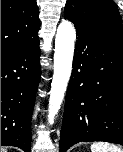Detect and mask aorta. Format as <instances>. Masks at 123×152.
Segmentation results:
<instances>
[{
  "label": "aorta",
  "mask_w": 123,
  "mask_h": 152,
  "mask_svg": "<svg viewBox=\"0 0 123 152\" xmlns=\"http://www.w3.org/2000/svg\"><path fill=\"white\" fill-rule=\"evenodd\" d=\"M75 38L74 26L70 21L63 20L55 37L54 73L48 106V122L51 125L60 110L70 80Z\"/></svg>",
  "instance_id": "aorta-1"
}]
</instances>
